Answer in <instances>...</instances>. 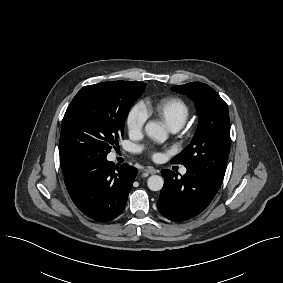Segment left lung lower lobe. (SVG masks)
Masks as SVG:
<instances>
[{
    "instance_id": "0a47b994",
    "label": "left lung lower lobe",
    "mask_w": 283,
    "mask_h": 283,
    "mask_svg": "<svg viewBox=\"0 0 283 283\" xmlns=\"http://www.w3.org/2000/svg\"><path fill=\"white\" fill-rule=\"evenodd\" d=\"M164 186L157 202L159 212L173 221H185L201 213L212 201L221 184L192 169L178 178L164 169Z\"/></svg>"
}]
</instances>
